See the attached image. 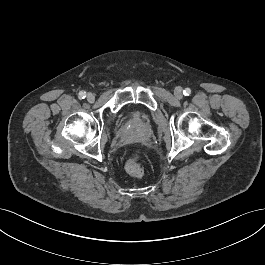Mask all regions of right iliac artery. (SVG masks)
Listing matches in <instances>:
<instances>
[{
    "instance_id": "right-iliac-artery-1",
    "label": "right iliac artery",
    "mask_w": 265,
    "mask_h": 265,
    "mask_svg": "<svg viewBox=\"0 0 265 265\" xmlns=\"http://www.w3.org/2000/svg\"><path fill=\"white\" fill-rule=\"evenodd\" d=\"M85 97H86V92H84V91L79 92V98L80 99H84Z\"/></svg>"
}]
</instances>
